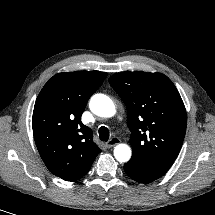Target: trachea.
Returning <instances> with one entry per match:
<instances>
[{
	"instance_id": "3493384b",
	"label": "trachea",
	"mask_w": 215,
	"mask_h": 215,
	"mask_svg": "<svg viewBox=\"0 0 215 215\" xmlns=\"http://www.w3.org/2000/svg\"><path fill=\"white\" fill-rule=\"evenodd\" d=\"M99 132V137L101 141H108L110 133L107 127L101 126L98 130Z\"/></svg>"
}]
</instances>
